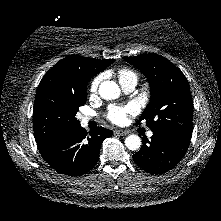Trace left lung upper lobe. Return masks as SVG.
<instances>
[{
  "label": "left lung upper lobe",
  "mask_w": 221,
  "mask_h": 221,
  "mask_svg": "<svg viewBox=\"0 0 221 221\" xmlns=\"http://www.w3.org/2000/svg\"><path fill=\"white\" fill-rule=\"evenodd\" d=\"M140 69L150 85L151 99L139 121L153 132L191 140L193 101L188 80L182 71L157 54L124 57Z\"/></svg>",
  "instance_id": "5c2ea615"
}]
</instances>
